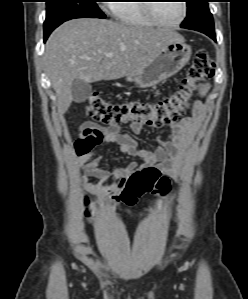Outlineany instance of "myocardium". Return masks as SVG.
Returning a JSON list of instances; mask_svg holds the SVG:
<instances>
[{
	"label": "myocardium",
	"mask_w": 248,
	"mask_h": 299,
	"mask_svg": "<svg viewBox=\"0 0 248 299\" xmlns=\"http://www.w3.org/2000/svg\"><path fill=\"white\" fill-rule=\"evenodd\" d=\"M180 1L182 4V15H181L180 19L175 23H166L158 17V15L155 12V6L157 3L145 4V11H146L148 17L157 25L162 26V27H167V28H175V27L180 26L184 22V20L187 17V12H188L186 1H184V0H180ZM149 2H154V1H149Z\"/></svg>",
	"instance_id": "f54148a6"
}]
</instances>
